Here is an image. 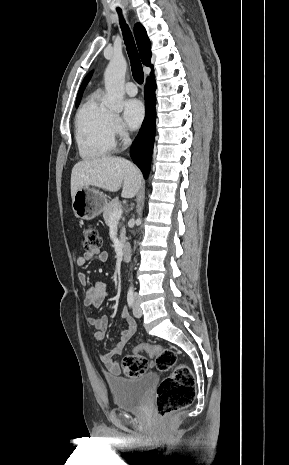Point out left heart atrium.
Masks as SVG:
<instances>
[{
  "instance_id": "1",
  "label": "left heart atrium",
  "mask_w": 289,
  "mask_h": 465,
  "mask_svg": "<svg viewBox=\"0 0 289 465\" xmlns=\"http://www.w3.org/2000/svg\"><path fill=\"white\" fill-rule=\"evenodd\" d=\"M145 116L143 104L137 99H129L124 102V119L127 126L137 129Z\"/></svg>"
}]
</instances>
